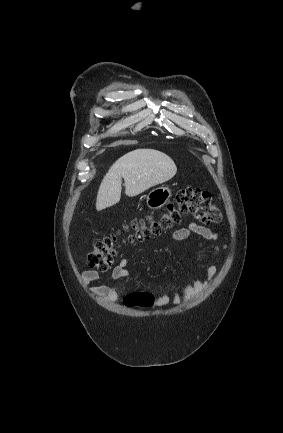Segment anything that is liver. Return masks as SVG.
I'll list each match as a JSON object with an SVG mask.
<instances>
[{
    "label": "liver",
    "mask_w": 283,
    "mask_h": 433,
    "mask_svg": "<svg viewBox=\"0 0 283 433\" xmlns=\"http://www.w3.org/2000/svg\"><path fill=\"white\" fill-rule=\"evenodd\" d=\"M177 166L165 152L154 148H136L120 156L106 172L98 190L96 208L102 210L119 202L122 190V176L125 180V194L136 196L150 186L170 180L176 174Z\"/></svg>",
    "instance_id": "1"
}]
</instances>
